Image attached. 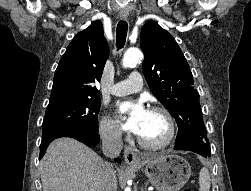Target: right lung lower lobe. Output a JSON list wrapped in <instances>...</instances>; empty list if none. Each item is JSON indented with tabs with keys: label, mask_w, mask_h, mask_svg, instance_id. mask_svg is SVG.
<instances>
[{
	"label": "right lung lower lobe",
	"mask_w": 251,
	"mask_h": 191,
	"mask_svg": "<svg viewBox=\"0 0 251 191\" xmlns=\"http://www.w3.org/2000/svg\"><path fill=\"white\" fill-rule=\"evenodd\" d=\"M60 137H71L74 138L89 147H95L99 144L100 137L98 131H91L80 127H67L59 129L52 132L51 134L42 137L40 145V157L44 155L48 145L56 138ZM117 162H121L119 158L116 159Z\"/></svg>",
	"instance_id": "1"
}]
</instances>
